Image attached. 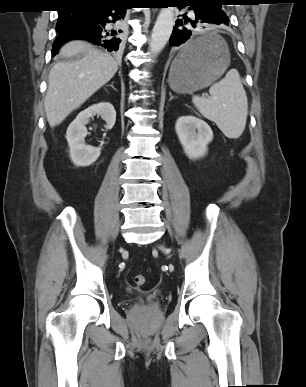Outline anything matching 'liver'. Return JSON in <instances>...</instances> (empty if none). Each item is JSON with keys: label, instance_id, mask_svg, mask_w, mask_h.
Listing matches in <instances>:
<instances>
[{"label": "liver", "instance_id": "liver-1", "mask_svg": "<svg viewBox=\"0 0 306 387\" xmlns=\"http://www.w3.org/2000/svg\"><path fill=\"white\" fill-rule=\"evenodd\" d=\"M59 54L67 60L56 63L51 69L44 101L51 127L59 125L118 70V64L110 54L85 41H70L62 46Z\"/></svg>", "mask_w": 306, "mask_h": 387}]
</instances>
